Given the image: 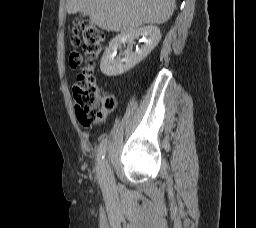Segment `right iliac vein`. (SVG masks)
<instances>
[{
    "mask_svg": "<svg viewBox=\"0 0 256 228\" xmlns=\"http://www.w3.org/2000/svg\"><path fill=\"white\" fill-rule=\"evenodd\" d=\"M103 178L105 180V183L109 186V187H113L114 186V179L113 176L111 175L110 172L108 171H104L103 173Z\"/></svg>",
    "mask_w": 256,
    "mask_h": 228,
    "instance_id": "right-iliac-vein-1",
    "label": "right iliac vein"
}]
</instances>
